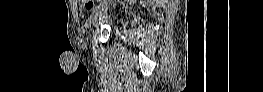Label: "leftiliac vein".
I'll return each mask as SVG.
<instances>
[{
    "instance_id": "obj_1",
    "label": "left iliac vein",
    "mask_w": 263,
    "mask_h": 92,
    "mask_svg": "<svg viewBox=\"0 0 263 92\" xmlns=\"http://www.w3.org/2000/svg\"><path fill=\"white\" fill-rule=\"evenodd\" d=\"M96 6V11H95V16H94V21H96L98 18L102 17V13L104 12V5L102 3V0H97L95 3Z\"/></svg>"
}]
</instances>
